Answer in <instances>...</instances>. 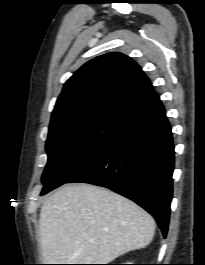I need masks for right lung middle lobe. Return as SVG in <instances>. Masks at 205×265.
<instances>
[{
    "label": "right lung middle lobe",
    "mask_w": 205,
    "mask_h": 265,
    "mask_svg": "<svg viewBox=\"0 0 205 265\" xmlns=\"http://www.w3.org/2000/svg\"><path fill=\"white\" fill-rule=\"evenodd\" d=\"M123 125L99 122L48 134V162L42 176L41 195L66 183L97 156L117 135Z\"/></svg>",
    "instance_id": "dd1d6c3e"
}]
</instances>
